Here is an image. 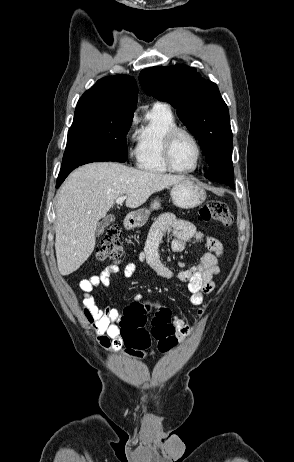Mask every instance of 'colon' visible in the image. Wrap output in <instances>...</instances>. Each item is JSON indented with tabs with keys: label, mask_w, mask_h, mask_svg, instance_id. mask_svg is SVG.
I'll use <instances>...</instances> for the list:
<instances>
[{
	"label": "colon",
	"mask_w": 294,
	"mask_h": 462,
	"mask_svg": "<svg viewBox=\"0 0 294 462\" xmlns=\"http://www.w3.org/2000/svg\"><path fill=\"white\" fill-rule=\"evenodd\" d=\"M198 217L203 222L213 221L223 227L232 224L233 217L228 206L219 200L207 202L199 211ZM121 229L117 225L110 226L97 246V257L100 260L118 261L122 255L120 241ZM150 305L133 302L126 307L120 319V330L125 344L135 350H144L150 346L151 337L158 341L160 351L164 352L177 344L175 328L170 310L160 308L151 320V330L145 329Z\"/></svg>",
	"instance_id": "obj_1"
}]
</instances>
